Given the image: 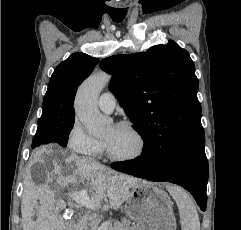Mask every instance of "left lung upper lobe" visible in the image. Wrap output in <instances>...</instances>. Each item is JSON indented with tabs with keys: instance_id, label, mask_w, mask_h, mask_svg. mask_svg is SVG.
I'll return each instance as SVG.
<instances>
[{
	"instance_id": "obj_1",
	"label": "left lung upper lobe",
	"mask_w": 241,
	"mask_h": 230,
	"mask_svg": "<svg viewBox=\"0 0 241 230\" xmlns=\"http://www.w3.org/2000/svg\"><path fill=\"white\" fill-rule=\"evenodd\" d=\"M100 67L112 74L110 90L144 144L158 140L169 149L205 144L194 63L173 40L105 58Z\"/></svg>"
}]
</instances>
